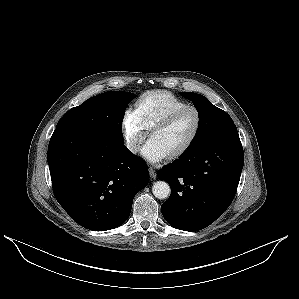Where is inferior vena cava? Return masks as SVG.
I'll return each instance as SVG.
<instances>
[{
	"mask_svg": "<svg viewBox=\"0 0 299 299\" xmlns=\"http://www.w3.org/2000/svg\"><path fill=\"white\" fill-rule=\"evenodd\" d=\"M127 148L133 153H136L139 150V146L133 142L128 143Z\"/></svg>",
	"mask_w": 299,
	"mask_h": 299,
	"instance_id": "602c4592",
	"label": "inferior vena cava"
}]
</instances>
